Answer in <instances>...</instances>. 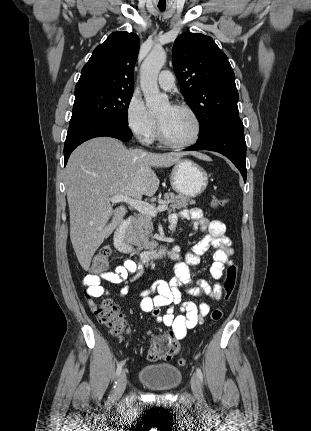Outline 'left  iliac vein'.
Here are the masks:
<instances>
[{"label":"left iliac vein","instance_id":"1","mask_svg":"<svg viewBox=\"0 0 311 431\" xmlns=\"http://www.w3.org/2000/svg\"><path fill=\"white\" fill-rule=\"evenodd\" d=\"M191 388L194 396L199 399L201 397V386L199 377L196 373H194L191 378Z\"/></svg>","mask_w":311,"mask_h":431}]
</instances>
